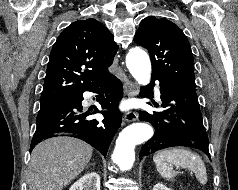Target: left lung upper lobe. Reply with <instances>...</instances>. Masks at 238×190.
Listing matches in <instances>:
<instances>
[{
	"label": "left lung upper lobe",
	"mask_w": 238,
	"mask_h": 190,
	"mask_svg": "<svg viewBox=\"0 0 238 190\" xmlns=\"http://www.w3.org/2000/svg\"><path fill=\"white\" fill-rule=\"evenodd\" d=\"M134 41L149 51L153 78L196 87L190 44L183 31L173 22L154 16L146 17L141 21Z\"/></svg>",
	"instance_id": "5c2ea615"
}]
</instances>
